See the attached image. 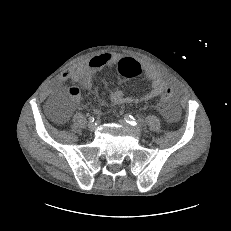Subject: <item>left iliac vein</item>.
<instances>
[{"label":"left iliac vein","instance_id":"obj_1","mask_svg":"<svg viewBox=\"0 0 231 231\" xmlns=\"http://www.w3.org/2000/svg\"><path fill=\"white\" fill-rule=\"evenodd\" d=\"M119 122L126 127L127 129L131 130L136 136L141 137L142 136V132L140 130L139 127H133L131 125H129L125 120L120 119Z\"/></svg>","mask_w":231,"mask_h":231}]
</instances>
